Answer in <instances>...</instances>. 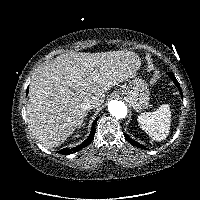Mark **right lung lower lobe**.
Returning a JSON list of instances; mask_svg holds the SVG:
<instances>
[{
    "label": "right lung lower lobe",
    "instance_id": "98d812e1",
    "mask_svg": "<svg viewBox=\"0 0 200 200\" xmlns=\"http://www.w3.org/2000/svg\"><path fill=\"white\" fill-rule=\"evenodd\" d=\"M97 122V119L94 121L93 125H92V130H91V133L89 135V137L82 143L80 144L79 146L73 148V149H62L60 151L61 154L63 155H68V154H72V153H75L79 150H81L82 148L86 147L87 145L90 144V142L92 141L93 137H94V134H95V124Z\"/></svg>",
    "mask_w": 200,
    "mask_h": 200
}]
</instances>
